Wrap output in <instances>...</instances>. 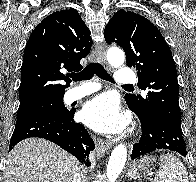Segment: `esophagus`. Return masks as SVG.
<instances>
[{"mask_svg":"<svg viewBox=\"0 0 196 182\" xmlns=\"http://www.w3.org/2000/svg\"><path fill=\"white\" fill-rule=\"evenodd\" d=\"M95 54L97 59L101 62V63H106V57H105V48L103 45L101 44H96L95 45ZM96 147H97V152L99 154H103L105 151H107L108 149H110L112 147V142L111 141H104V140H98L96 143Z\"/></svg>","mask_w":196,"mask_h":182,"instance_id":"esophagus-1","label":"esophagus"}]
</instances>
